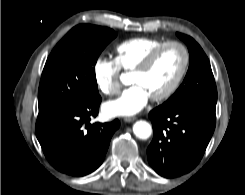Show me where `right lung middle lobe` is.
Here are the masks:
<instances>
[{
	"mask_svg": "<svg viewBox=\"0 0 245 195\" xmlns=\"http://www.w3.org/2000/svg\"><path fill=\"white\" fill-rule=\"evenodd\" d=\"M117 33L78 25L55 46L44 66L38 91L39 113L84 105L100 98L95 76L97 59Z\"/></svg>",
	"mask_w": 245,
	"mask_h": 195,
	"instance_id": "dd1d6c3e",
	"label": "right lung middle lobe"
}]
</instances>
